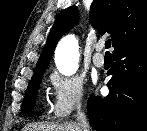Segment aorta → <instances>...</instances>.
Returning <instances> with one entry per match:
<instances>
[{"label":"aorta","mask_w":147,"mask_h":131,"mask_svg":"<svg viewBox=\"0 0 147 131\" xmlns=\"http://www.w3.org/2000/svg\"><path fill=\"white\" fill-rule=\"evenodd\" d=\"M79 44L73 35L65 36L59 42L55 52V63L58 71L65 75H73L78 68Z\"/></svg>","instance_id":"762f6f07"}]
</instances>
